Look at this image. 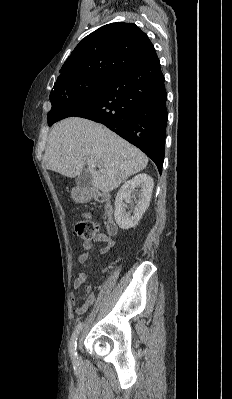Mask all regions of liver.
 <instances>
[{"label":"liver","instance_id":"1","mask_svg":"<svg viewBox=\"0 0 232 399\" xmlns=\"http://www.w3.org/2000/svg\"><path fill=\"white\" fill-rule=\"evenodd\" d=\"M85 160L94 162L95 168L88 166L93 188L106 194L124 184L130 176L142 172L149 158L102 124L91 120L67 118L54 124L43 158L47 170L76 178L80 176Z\"/></svg>","mask_w":232,"mask_h":399}]
</instances>
